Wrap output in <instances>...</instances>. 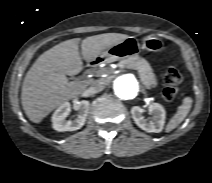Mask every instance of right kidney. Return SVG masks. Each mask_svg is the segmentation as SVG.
Returning a JSON list of instances; mask_svg holds the SVG:
<instances>
[{"label":"right kidney","mask_w":212,"mask_h":183,"mask_svg":"<svg viewBox=\"0 0 212 183\" xmlns=\"http://www.w3.org/2000/svg\"><path fill=\"white\" fill-rule=\"evenodd\" d=\"M74 108L78 110V114L73 120L66 119L71 112V104L69 102H64L55 110L52 115V126L54 130L58 132L75 131L85 124L89 110V102L86 100L79 101L74 105Z\"/></svg>","instance_id":"ca27d5eb"}]
</instances>
